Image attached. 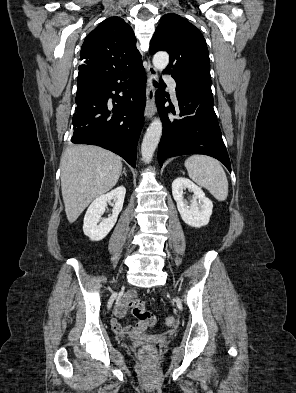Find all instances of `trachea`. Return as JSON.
<instances>
[{"instance_id": "trachea-1", "label": "trachea", "mask_w": 296, "mask_h": 393, "mask_svg": "<svg viewBox=\"0 0 296 393\" xmlns=\"http://www.w3.org/2000/svg\"><path fill=\"white\" fill-rule=\"evenodd\" d=\"M154 86H158V83L156 81H153Z\"/></svg>"}]
</instances>
